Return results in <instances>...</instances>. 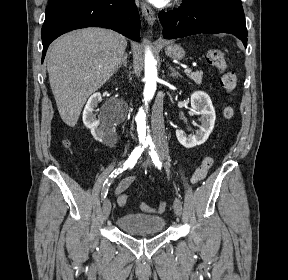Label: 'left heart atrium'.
I'll use <instances>...</instances> for the list:
<instances>
[{
  "label": "left heart atrium",
  "mask_w": 288,
  "mask_h": 280,
  "mask_svg": "<svg viewBox=\"0 0 288 280\" xmlns=\"http://www.w3.org/2000/svg\"><path fill=\"white\" fill-rule=\"evenodd\" d=\"M149 1L157 6H163L169 2V0H149Z\"/></svg>",
  "instance_id": "39dd6f15"
}]
</instances>
